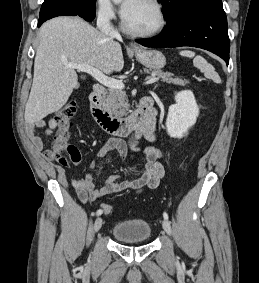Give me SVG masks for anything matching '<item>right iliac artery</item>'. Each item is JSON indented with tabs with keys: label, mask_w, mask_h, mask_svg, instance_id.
Listing matches in <instances>:
<instances>
[{
	"label": "right iliac artery",
	"mask_w": 259,
	"mask_h": 283,
	"mask_svg": "<svg viewBox=\"0 0 259 283\" xmlns=\"http://www.w3.org/2000/svg\"><path fill=\"white\" fill-rule=\"evenodd\" d=\"M101 214H102V210L101 209L97 210L96 215L98 216V215H101Z\"/></svg>",
	"instance_id": "obj_1"
}]
</instances>
